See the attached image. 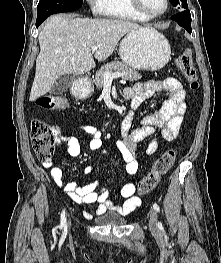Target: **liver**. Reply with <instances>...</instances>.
Masks as SVG:
<instances>
[{"instance_id":"liver-1","label":"liver","mask_w":221,"mask_h":263,"mask_svg":"<svg viewBox=\"0 0 221 263\" xmlns=\"http://www.w3.org/2000/svg\"><path fill=\"white\" fill-rule=\"evenodd\" d=\"M134 30L151 31L136 23L121 19L51 17L38 36L40 53L30 92V101L50 91L62 75H82L95 67L91 48L98 46L94 57L104 61L114 51L120 39Z\"/></svg>"}]
</instances>
